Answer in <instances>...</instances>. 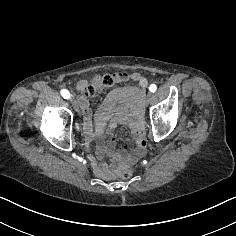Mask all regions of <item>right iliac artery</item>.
<instances>
[{
	"mask_svg": "<svg viewBox=\"0 0 236 236\" xmlns=\"http://www.w3.org/2000/svg\"><path fill=\"white\" fill-rule=\"evenodd\" d=\"M60 93H61V95L63 96L64 99H69L70 98V93H69L68 90L63 89V90H61Z\"/></svg>",
	"mask_w": 236,
	"mask_h": 236,
	"instance_id": "obj_1",
	"label": "right iliac artery"
}]
</instances>
